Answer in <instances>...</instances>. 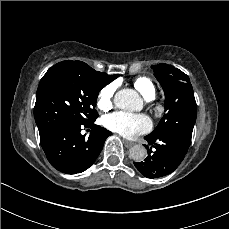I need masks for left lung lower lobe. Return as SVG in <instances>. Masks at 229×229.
<instances>
[{"mask_svg": "<svg viewBox=\"0 0 229 229\" xmlns=\"http://www.w3.org/2000/svg\"><path fill=\"white\" fill-rule=\"evenodd\" d=\"M145 140L149 145H154L155 151L153 152L151 147L145 161L134 162V165L140 173L151 179L172 173L180 165L189 148L186 142L175 137L147 135Z\"/></svg>", "mask_w": 229, "mask_h": 229, "instance_id": "0a47b994", "label": "left lung lower lobe"}]
</instances>
